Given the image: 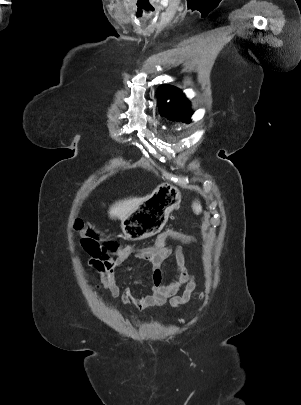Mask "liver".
Returning a JSON list of instances; mask_svg holds the SVG:
<instances>
[{"label": "liver", "mask_w": 301, "mask_h": 405, "mask_svg": "<svg viewBox=\"0 0 301 405\" xmlns=\"http://www.w3.org/2000/svg\"><path fill=\"white\" fill-rule=\"evenodd\" d=\"M147 197L129 198L113 204L109 209V215L112 219L124 220L130 212L135 210Z\"/></svg>", "instance_id": "6515ba94"}]
</instances>
